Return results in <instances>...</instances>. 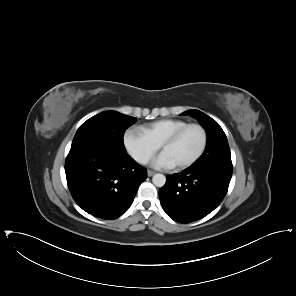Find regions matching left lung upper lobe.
Wrapping results in <instances>:
<instances>
[{
	"label": "left lung upper lobe",
	"instance_id": "5c2ea615",
	"mask_svg": "<svg viewBox=\"0 0 296 296\" xmlns=\"http://www.w3.org/2000/svg\"><path fill=\"white\" fill-rule=\"evenodd\" d=\"M181 115H191L207 132V145L203 155L195 163L197 166H212L218 164L232 165L230 148L226 135L220 125L199 110H188Z\"/></svg>",
	"mask_w": 296,
	"mask_h": 296
}]
</instances>
